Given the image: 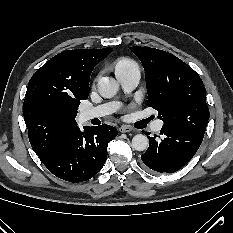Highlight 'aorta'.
<instances>
[{"label":"aorta","instance_id":"1","mask_svg":"<svg viewBox=\"0 0 233 233\" xmlns=\"http://www.w3.org/2000/svg\"><path fill=\"white\" fill-rule=\"evenodd\" d=\"M119 89L118 82L109 77H102L98 81V91L104 98L113 97ZM149 144L148 138L143 134H137L132 138V148L137 151H144Z\"/></svg>","mask_w":233,"mask_h":233}]
</instances>
